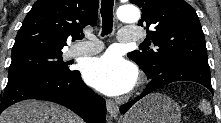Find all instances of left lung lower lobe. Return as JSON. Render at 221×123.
Returning <instances> with one entry per match:
<instances>
[{
    "label": "left lung lower lobe",
    "mask_w": 221,
    "mask_h": 123,
    "mask_svg": "<svg viewBox=\"0 0 221 123\" xmlns=\"http://www.w3.org/2000/svg\"><path fill=\"white\" fill-rule=\"evenodd\" d=\"M146 75L151 79V81L148 83L147 87L140 96L120 107V112L122 114H125L134 103L147 94L174 81H194L204 85L211 92H213V88L211 86L210 69L209 65L206 63L193 60L179 61L168 64L158 69L153 74L146 73Z\"/></svg>",
    "instance_id": "1"
}]
</instances>
